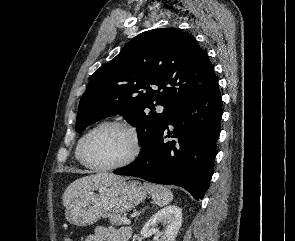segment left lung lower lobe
<instances>
[{"mask_svg": "<svg viewBox=\"0 0 295 241\" xmlns=\"http://www.w3.org/2000/svg\"><path fill=\"white\" fill-rule=\"evenodd\" d=\"M222 113L216 78L175 109L134 162L113 173L177 185L195 199H202L214 171ZM169 124L173 126L171 131H167ZM166 132V137L174 140L164 141Z\"/></svg>", "mask_w": 295, "mask_h": 241, "instance_id": "1", "label": "left lung lower lobe"}]
</instances>
